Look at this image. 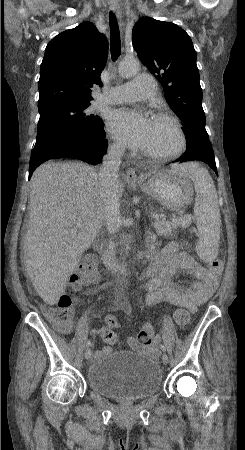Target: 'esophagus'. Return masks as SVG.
Returning a JSON list of instances; mask_svg holds the SVG:
<instances>
[{
  "label": "esophagus",
  "instance_id": "esophagus-1",
  "mask_svg": "<svg viewBox=\"0 0 245 450\" xmlns=\"http://www.w3.org/2000/svg\"><path fill=\"white\" fill-rule=\"evenodd\" d=\"M110 9L116 12L117 18L120 20L121 16L119 15V12H118V4L111 3L110 4ZM126 175L131 180H138L140 178L137 169H135L133 167L127 169Z\"/></svg>",
  "mask_w": 245,
  "mask_h": 450
}]
</instances>
